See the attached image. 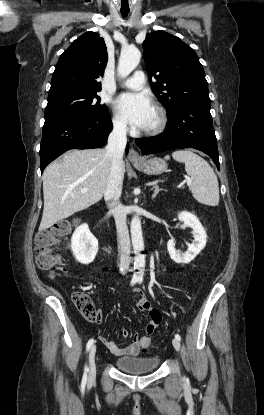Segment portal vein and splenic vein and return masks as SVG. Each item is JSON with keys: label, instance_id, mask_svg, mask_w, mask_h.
Wrapping results in <instances>:
<instances>
[{"label": "portal vein and splenic vein", "instance_id": "1", "mask_svg": "<svg viewBox=\"0 0 264 415\" xmlns=\"http://www.w3.org/2000/svg\"><path fill=\"white\" fill-rule=\"evenodd\" d=\"M186 181H187L188 186H190L191 185V180L189 178H186ZM87 191H88V189H86V188L81 190L82 193H85Z\"/></svg>", "mask_w": 264, "mask_h": 415}]
</instances>
